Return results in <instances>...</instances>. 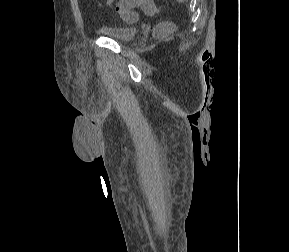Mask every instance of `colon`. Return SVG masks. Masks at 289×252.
Instances as JSON below:
<instances>
[{
    "label": "colon",
    "instance_id": "obj_1",
    "mask_svg": "<svg viewBox=\"0 0 289 252\" xmlns=\"http://www.w3.org/2000/svg\"><path fill=\"white\" fill-rule=\"evenodd\" d=\"M140 7L146 14H154L159 10L154 0H119L116 10L120 16L126 21H134L136 14L133 9ZM173 31V26L169 22H161L154 28V36L157 38H165Z\"/></svg>",
    "mask_w": 289,
    "mask_h": 252
}]
</instances>
